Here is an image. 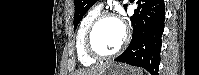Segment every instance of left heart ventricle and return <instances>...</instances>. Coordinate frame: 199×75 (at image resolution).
<instances>
[{
  "instance_id": "1",
  "label": "left heart ventricle",
  "mask_w": 199,
  "mask_h": 75,
  "mask_svg": "<svg viewBox=\"0 0 199 75\" xmlns=\"http://www.w3.org/2000/svg\"><path fill=\"white\" fill-rule=\"evenodd\" d=\"M124 30L120 22L114 19L103 20L93 35L94 48L103 54L114 51L122 42Z\"/></svg>"
}]
</instances>
